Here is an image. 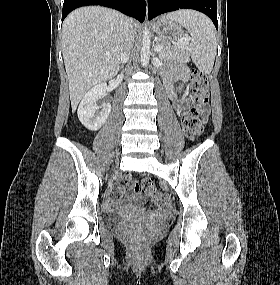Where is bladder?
Instances as JSON below:
<instances>
[{"label": "bladder", "mask_w": 280, "mask_h": 285, "mask_svg": "<svg viewBox=\"0 0 280 285\" xmlns=\"http://www.w3.org/2000/svg\"><path fill=\"white\" fill-rule=\"evenodd\" d=\"M104 217L106 219V222L113 226H121L126 222L124 218L115 214H105Z\"/></svg>", "instance_id": "31cf9c89"}]
</instances>
